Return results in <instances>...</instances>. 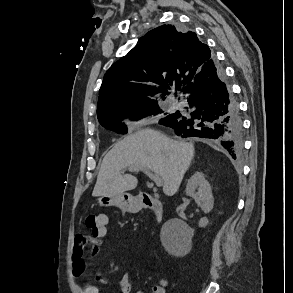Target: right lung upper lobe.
<instances>
[{
	"label": "right lung upper lobe",
	"mask_w": 293,
	"mask_h": 293,
	"mask_svg": "<svg viewBox=\"0 0 293 293\" xmlns=\"http://www.w3.org/2000/svg\"><path fill=\"white\" fill-rule=\"evenodd\" d=\"M212 59L206 44L194 32L183 33L174 25L149 31L126 56L106 72L97 105V116L148 108L175 89L182 91Z\"/></svg>",
	"instance_id": "cb5924a9"
}]
</instances>
